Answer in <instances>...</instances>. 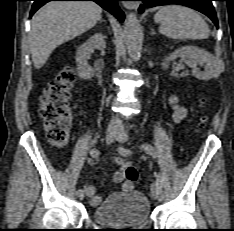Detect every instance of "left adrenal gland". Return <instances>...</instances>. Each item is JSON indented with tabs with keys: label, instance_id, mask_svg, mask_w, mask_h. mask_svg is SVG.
<instances>
[{
	"label": "left adrenal gland",
	"instance_id": "obj_1",
	"mask_svg": "<svg viewBox=\"0 0 234 231\" xmlns=\"http://www.w3.org/2000/svg\"><path fill=\"white\" fill-rule=\"evenodd\" d=\"M151 35H154V34H156V32L154 31V29H151V33H150Z\"/></svg>",
	"mask_w": 234,
	"mask_h": 231
}]
</instances>
